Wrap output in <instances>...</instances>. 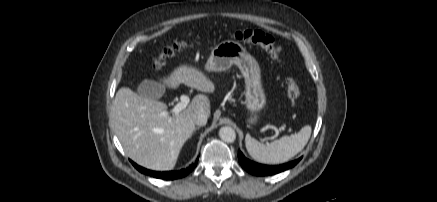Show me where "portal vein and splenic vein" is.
Masks as SVG:
<instances>
[{"instance_id": "18ae733b", "label": "portal vein and splenic vein", "mask_w": 437, "mask_h": 202, "mask_svg": "<svg viewBox=\"0 0 437 202\" xmlns=\"http://www.w3.org/2000/svg\"><path fill=\"white\" fill-rule=\"evenodd\" d=\"M189 101L190 99L187 95H182L180 97V102L173 107L171 113L179 114L182 110H184L187 107Z\"/></svg>"}]
</instances>
